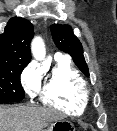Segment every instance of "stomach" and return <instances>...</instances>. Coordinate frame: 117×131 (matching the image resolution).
Segmentation results:
<instances>
[{"instance_id":"0dacf381","label":"stomach","mask_w":117,"mask_h":131,"mask_svg":"<svg viewBox=\"0 0 117 131\" xmlns=\"http://www.w3.org/2000/svg\"><path fill=\"white\" fill-rule=\"evenodd\" d=\"M45 131H75V126L68 120H57L50 124Z\"/></svg>"}]
</instances>
